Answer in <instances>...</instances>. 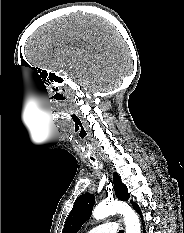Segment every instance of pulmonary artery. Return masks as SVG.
<instances>
[{
	"mask_svg": "<svg viewBox=\"0 0 184 233\" xmlns=\"http://www.w3.org/2000/svg\"><path fill=\"white\" fill-rule=\"evenodd\" d=\"M118 232V225L116 222H106L101 224L88 233H117Z\"/></svg>",
	"mask_w": 184,
	"mask_h": 233,
	"instance_id": "obj_1",
	"label": "pulmonary artery"
}]
</instances>
